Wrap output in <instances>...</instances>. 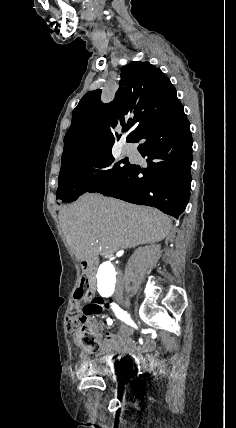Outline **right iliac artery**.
Here are the masks:
<instances>
[{
    "instance_id": "right-iliac-artery-1",
    "label": "right iliac artery",
    "mask_w": 236,
    "mask_h": 428,
    "mask_svg": "<svg viewBox=\"0 0 236 428\" xmlns=\"http://www.w3.org/2000/svg\"><path fill=\"white\" fill-rule=\"evenodd\" d=\"M111 308L113 309L118 319L122 320L123 322L134 328H137L136 324L130 318V315L126 311H123L117 304L111 303Z\"/></svg>"
}]
</instances>
